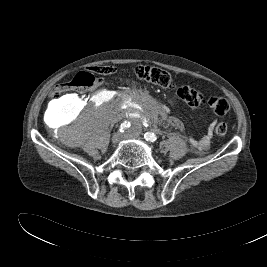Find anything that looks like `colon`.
I'll return each mask as SVG.
<instances>
[{
	"mask_svg": "<svg viewBox=\"0 0 267 267\" xmlns=\"http://www.w3.org/2000/svg\"><path fill=\"white\" fill-rule=\"evenodd\" d=\"M114 71L112 66H95L90 71L77 73L69 82L59 84L51 92L53 99H60L73 90H87L95 86V75H108ZM136 78L140 81L156 85L162 88H172L174 81L169 72L154 66H138L134 69ZM178 96L189 107L196 108L207 104L211 110L220 116L226 115L230 109L228 101L224 97L213 96L205 98L200 91L190 86H182L177 90ZM74 100V97H71ZM215 133L223 137L227 133V125L219 123L215 127Z\"/></svg>",
	"mask_w": 267,
	"mask_h": 267,
	"instance_id": "colon-1",
	"label": "colon"
}]
</instances>
